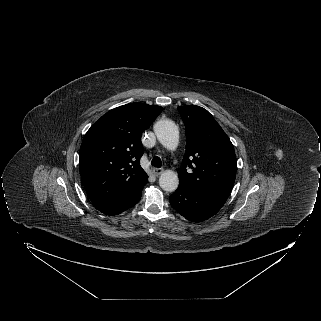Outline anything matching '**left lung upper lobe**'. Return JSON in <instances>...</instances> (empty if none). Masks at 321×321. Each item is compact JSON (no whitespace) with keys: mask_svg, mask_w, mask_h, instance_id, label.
Here are the masks:
<instances>
[{"mask_svg":"<svg viewBox=\"0 0 321 321\" xmlns=\"http://www.w3.org/2000/svg\"><path fill=\"white\" fill-rule=\"evenodd\" d=\"M186 129L179 186L228 197L235 182L234 147L213 116L196 105L178 107Z\"/></svg>","mask_w":321,"mask_h":321,"instance_id":"5c2ea615","label":"left lung upper lobe"}]
</instances>
